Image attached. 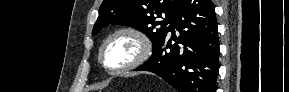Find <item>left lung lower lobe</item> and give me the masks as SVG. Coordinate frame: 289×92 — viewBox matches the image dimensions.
Returning <instances> with one entry per match:
<instances>
[{
	"label": "left lung lower lobe",
	"instance_id": "1",
	"mask_svg": "<svg viewBox=\"0 0 289 92\" xmlns=\"http://www.w3.org/2000/svg\"><path fill=\"white\" fill-rule=\"evenodd\" d=\"M169 24L156 52L136 71L153 72L179 92H215L220 65L212 1L181 0Z\"/></svg>",
	"mask_w": 289,
	"mask_h": 92
}]
</instances>
